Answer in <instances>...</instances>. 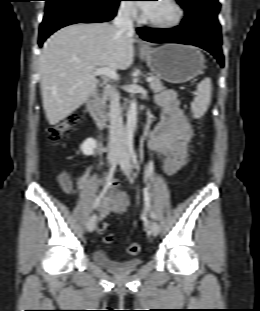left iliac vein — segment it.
I'll return each mask as SVG.
<instances>
[{"label":"left iliac vein","mask_w":260,"mask_h":311,"mask_svg":"<svg viewBox=\"0 0 260 311\" xmlns=\"http://www.w3.org/2000/svg\"><path fill=\"white\" fill-rule=\"evenodd\" d=\"M122 150L118 154V162L123 169L125 175L131 180V173H132V163H131V157L128 152V149L126 146L120 145V149ZM149 230L153 236H157L160 231V227L156 221L151 222Z\"/></svg>","instance_id":"obj_1"}]
</instances>
